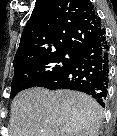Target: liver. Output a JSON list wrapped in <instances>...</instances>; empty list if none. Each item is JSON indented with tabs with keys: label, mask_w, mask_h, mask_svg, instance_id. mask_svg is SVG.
<instances>
[{
	"label": "liver",
	"mask_w": 117,
	"mask_h": 136,
	"mask_svg": "<svg viewBox=\"0 0 117 136\" xmlns=\"http://www.w3.org/2000/svg\"><path fill=\"white\" fill-rule=\"evenodd\" d=\"M102 108L90 96L34 87L13 99L10 136H98Z\"/></svg>",
	"instance_id": "1"
}]
</instances>
